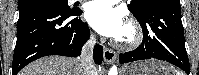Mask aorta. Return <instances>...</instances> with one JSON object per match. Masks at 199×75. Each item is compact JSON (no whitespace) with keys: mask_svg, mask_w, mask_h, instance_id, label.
I'll return each mask as SVG.
<instances>
[{"mask_svg":"<svg viewBox=\"0 0 199 75\" xmlns=\"http://www.w3.org/2000/svg\"><path fill=\"white\" fill-rule=\"evenodd\" d=\"M108 75H118L117 67H116V66H113V67L110 69Z\"/></svg>","mask_w":199,"mask_h":75,"instance_id":"1","label":"aorta"}]
</instances>
